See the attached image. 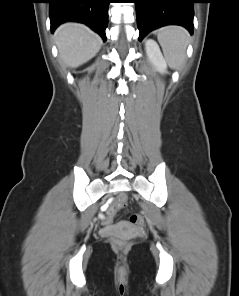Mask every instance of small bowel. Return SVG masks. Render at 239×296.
Wrapping results in <instances>:
<instances>
[{"instance_id":"small-bowel-1","label":"small bowel","mask_w":239,"mask_h":296,"mask_svg":"<svg viewBox=\"0 0 239 296\" xmlns=\"http://www.w3.org/2000/svg\"><path fill=\"white\" fill-rule=\"evenodd\" d=\"M113 216V212L112 211H107L106 212V221H110L111 217Z\"/></svg>"}]
</instances>
